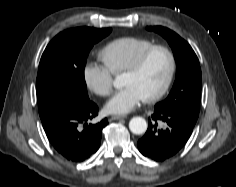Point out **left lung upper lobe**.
<instances>
[{"mask_svg": "<svg viewBox=\"0 0 236 187\" xmlns=\"http://www.w3.org/2000/svg\"><path fill=\"white\" fill-rule=\"evenodd\" d=\"M147 30L159 33L168 41L177 65L176 79L170 94L156 106L187 112L198 117L202 75L195 52L184 39L168 28L154 26L147 27Z\"/></svg>", "mask_w": 236, "mask_h": 187, "instance_id": "left-lung-upper-lobe-1", "label": "left lung upper lobe"}]
</instances>
